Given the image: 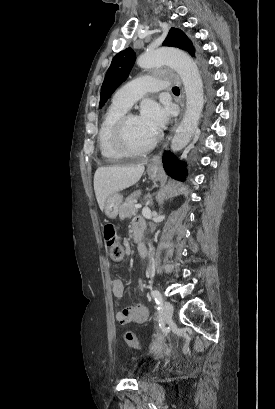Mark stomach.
Wrapping results in <instances>:
<instances>
[{
	"label": "stomach",
	"mask_w": 275,
	"mask_h": 409,
	"mask_svg": "<svg viewBox=\"0 0 275 409\" xmlns=\"http://www.w3.org/2000/svg\"><path fill=\"white\" fill-rule=\"evenodd\" d=\"M147 172L150 178L155 180V178L158 176L159 168L158 166H150V164H148ZM122 200L123 196L122 194H119V192H113V194H109V196H107L104 211L108 219H116Z\"/></svg>",
	"instance_id": "0dacf381"
}]
</instances>
